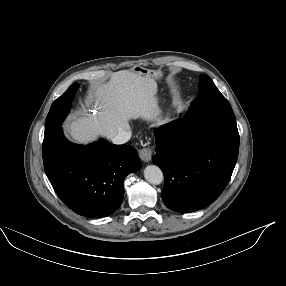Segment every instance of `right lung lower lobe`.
Masks as SVG:
<instances>
[{
	"mask_svg": "<svg viewBox=\"0 0 286 286\" xmlns=\"http://www.w3.org/2000/svg\"><path fill=\"white\" fill-rule=\"evenodd\" d=\"M43 162L55 192L75 213L111 215L123 200L124 178L141 168L133 147L101 139L87 146L68 142L62 127L44 134Z\"/></svg>",
	"mask_w": 286,
	"mask_h": 286,
	"instance_id": "1",
	"label": "right lung lower lobe"
}]
</instances>
